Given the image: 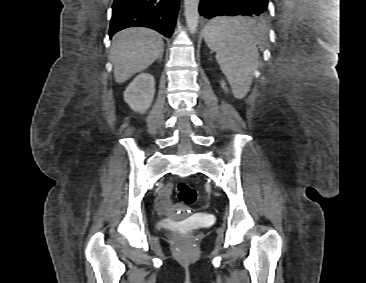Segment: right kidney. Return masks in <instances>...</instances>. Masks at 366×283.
<instances>
[{
    "instance_id": "obj_1",
    "label": "right kidney",
    "mask_w": 366,
    "mask_h": 283,
    "mask_svg": "<svg viewBox=\"0 0 366 283\" xmlns=\"http://www.w3.org/2000/svg\"><path fill=\"white\" fill-rule=\"evenodd\" d=\"M155 94V80L150 73L139 74L124 91V100L135 112L146 113Z\"/></svg>"
}]
</instances>
